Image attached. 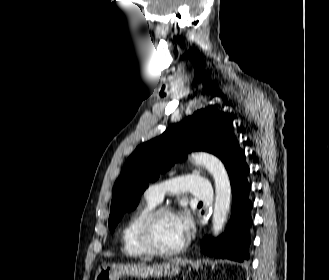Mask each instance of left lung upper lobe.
Listing matches in <instances>:
<instances>
[{"label": "left lung upper lobe", "mask_w": 329, "mask_h": 280, "mask_svg": "<svg viewBox=\"0 0 329 280\" xmlns=\"http://www.w3.org/2000/svg\"><path fill=\"white\" fill-rule=\"evenodd\" d=\"M191 150H204L218 156L230 174L237 168L244 153L228 117L214 109L196 111L162 135L142 145L127 159L113 188L109 227L111 232L125 211L134 210L149 181H155L174 160Z\"/></svg>", "instance_id": "1"}]
</instances>
